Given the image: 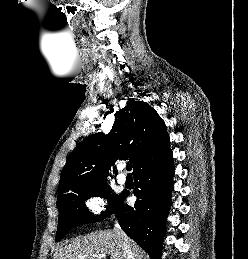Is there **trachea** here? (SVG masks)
Wrapping results in <instances>:
<instances>
[{
  "instance_id": "obj_1",
  "label": "trachea",
  "mask_w": 248,
  "mask_h": 259,
  "mask_svg": "<svg viewBox=\"0 0 248 259\" xmlns=\"http://www.w3.org/2000/svg\"><path fill=\"white\" fill-rule=\"evenodd\" d=\"M126 170H127V171H131V170H132V164H127Z\"/></svg>"
}]
</instances>
